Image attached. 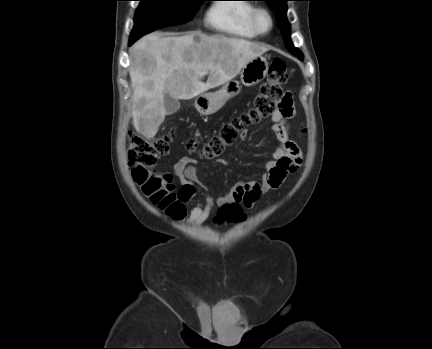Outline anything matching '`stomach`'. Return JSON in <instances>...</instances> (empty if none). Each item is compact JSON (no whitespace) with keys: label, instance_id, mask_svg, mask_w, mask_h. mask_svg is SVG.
Wrapping results in <instances>:
<instances>
[{"label":"stomach","instance_id":"stomach-1","mask_svg":"<svg viewBox=\"0 0 432 349\" xmlns=\"http://www.w3.org/2000/svg\"><path fill=\"white\" fill-rule=\"evenodd\" d=\"M268 69L269 63L265 57L258 56L252 59L240 72L242 84L247 87L258 84L266 77ZM239 91V82L230 81L218 91L200 94L195 99L194 106L201 115H211L216 113L227 100L236 96Z\"/></svg>","mask_w":432,"mask_h":349}]
</instances>
